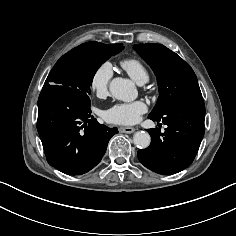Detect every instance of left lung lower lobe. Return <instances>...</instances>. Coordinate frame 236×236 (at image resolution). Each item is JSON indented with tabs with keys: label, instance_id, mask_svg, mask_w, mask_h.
I'll return each mask as SVG.
<instances>
[{
	"label": "left lung lower lobe",
	"instance_id": "obj_1",
	"mask_svg": "<svg viewBox=\"0 0 236 236\" xmlns=\"http://www.w3.org/2000/svg\"><path fill=\"white\" fill-rule=\"evenodd\" d=\"M167 125L165 132L149 129L152 143L137 152L148 169L164 175L175 174L193 162L204 136L205 105L201 95H191L170 105L161 117L148 116Z\"/></svg>",
	"mask_w": 236,
	"mask_h": 236
}]
</instances>
